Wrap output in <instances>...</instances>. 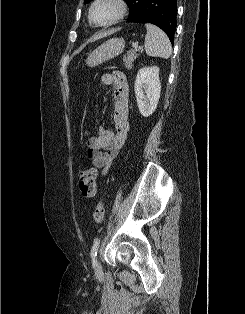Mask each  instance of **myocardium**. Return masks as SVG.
<instances>
[{"label":"myocardium","mask_w":245,"mask_h":314,"mask_svg":"<svg viewBox=\"0 0 245 314\" xmlns=\"http://www.w3.org/2000/svg\"><path fill=\"white\" fill-rule=\"evenodd\" d=\"M102 1H105V0H94L92 2L91 6L89 8V12H88L89 22L96 27L111 26V25L117 23L118 21H120L126 15V13L128 11V5L126 3V0H109L110 2L114 3L116 6L117 10H116L115 15L109 21H107L105 23H96L93 21L92 13H93L95 6Z\"/></svg>","instance_id":"myocardium-1"}]
</instances>
